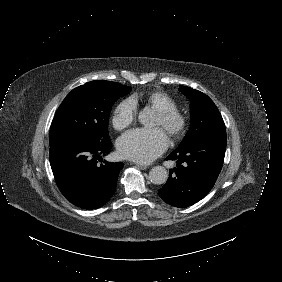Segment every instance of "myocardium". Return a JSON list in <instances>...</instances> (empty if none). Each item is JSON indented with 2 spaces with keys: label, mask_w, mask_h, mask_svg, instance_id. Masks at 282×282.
I'll return each mask as SVG.
<instances>
[{
  "label": "myocardium",
  "mask_w": 282,
  "mask_h": 282,
  "mask_svg": "<svg viewBox=\"0 0 282 282\" xmlns=\"http://www.w3.org/2000/svg\"><path fill=\"white\" fill-rule=\"evenodd\" d=\"M157 115L161 120V125L169 135L175 136L183 131L185 119L178 111L160 110L157 111Z\"/></svg>",
  "instance_id": "1"
}]
</instances>
